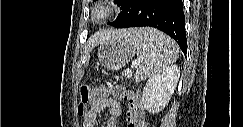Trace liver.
Masks as SVG:
<instances>
[{
    "mask_svg": "<svg viewBox=\"0 0 243 127\" xmlns=\"http://www.w3.org/2000/svg\"><path fill=\"white\" fill-rule=\"evenodd\" d=\"M134 32L133 29L128 30H105L102 32H98L94 34L89 42H88V49H92L98 44H104L107 42H112L116 40H121L123 38H126L128 35L132 34Z\"/></svg>",
    "mask_w": 243,
    "mask_h": 127,
    "instance_id": "obj_1",
    "label": "liver"
}]
</instances>
